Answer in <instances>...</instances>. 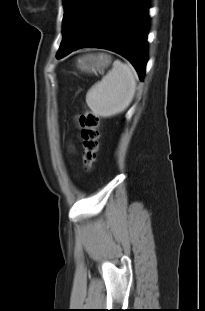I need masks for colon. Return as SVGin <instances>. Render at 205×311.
Here are the masks:
<instances>
[{
	"instance_id": "1",
	"label": "colon",
	"mask_w": 205,
	"mask_h": 311,
	"mask_svg": "<svg viewBox=\"0 0 205 311\" xmlns=\"http://www.w3.org/2000/svg\"><path fill=\"white\" fill-rule=\"evenodd\" d=\"M82 140V159L83 166L87 172L94 169L97 160L100 138V118L92 110H85L79 117Z\"/></svg>"
}]
</instances>
